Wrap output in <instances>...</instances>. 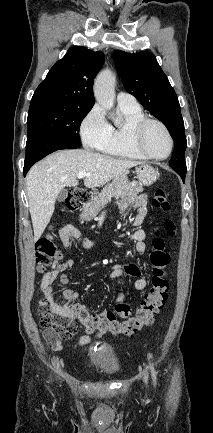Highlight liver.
I'll list each match as a JSON object with an SVG mask.
<instances>
[{
  "label": "liver",
  "mask_w": 213,
  "mask_h": 433,
  "mask_svg": "<svg viewBox=\"0 0 213 433\" xmlns=\"http://www.w3.org/2000/svg\"><path fill=\"white\" fill-rule=\"evenodd\" d=\"M139 164L83 149L60 150L36 163L26 176L34 241L41 237L50 222L58 194L66 186L78 185V173L87 172L84 185L94 188Z\"/></svg>",
  "instance_id": "liver-1"
}]
</instances>
